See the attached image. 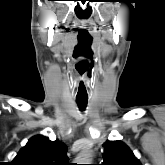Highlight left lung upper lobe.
I'll use <instances>...</instances> for the list:
<instances>
[{"mask_svg": "<svg viewBox=\"0 0 165 165\" xmlns=\"http://www.w3.org/2000/svg\"><path fill=\"white\" fill-rule=\"evenodd\" d=\"M104 148L101 165H141L133 152L121 141H107Z\"/></svg>", "mask_w": 165, "mask_h": 165, "instance_id": "1", "label": "left lung upper lobe"}]
</instances>
